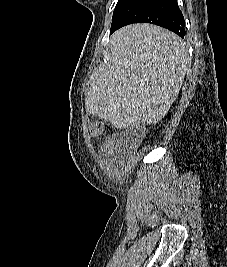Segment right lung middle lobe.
<instances>
[{"label": "right lung middle lobe", "instance_id": "dd1d6c3e", "mask_svg": "<svg viewBox=\"0 0 227 267\" xmlns=\"http://www.w3.org/2000/svg\"><path fill=\"white\" fill-rule=\"evenodd\" d=\"M127 0H119L116 7H115V10H114V13H113V19L114 17L116 16V14L118 13V11L120 10V8L123 6V4L126 2Z\"/></svg>", "mask_w": 227, "mask_h": 267}]
</instances>
